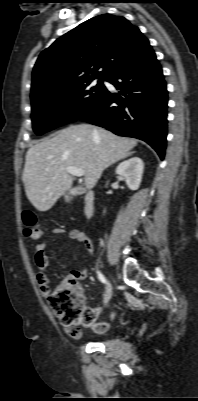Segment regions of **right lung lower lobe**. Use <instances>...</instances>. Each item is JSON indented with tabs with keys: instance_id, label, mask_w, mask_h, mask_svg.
<instances>
[{
	"instance_id": "obj_1",
	"label": "right lung lower lobe",
	"mask_w": 198,
	"mask_h": 401,
	"mask_svg": "<svg viewBox=\"0 0 198 401\" xmlns=\"http://www.w3.org/2000/svg\"><path fill=\"white\" fill-rule=\"evenodd\" d=\"M106 81L96 105L80 120L104 127L120 136L135 137L151 145L163 160L167 136V90L162 69L151 46L123 65Z\"/></svg>"
}]
</instances>
